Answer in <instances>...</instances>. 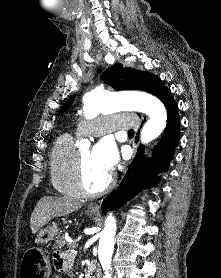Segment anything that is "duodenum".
<instances>
[{
  "label": "duodenum",
  "mask_w": 221,
  "mask_h": 278,
  "mask_svg": "<svg viewBox=\"0 0 221 278\" xmlns=\"http://www.w3.org/2000/svg\"><path fill=\"white\" fill-rule=\"evenodd\" d=\"M86 277L87 278H101V273L94 264H90L87 269Z\"/></svg>",
  "instance_id": "obj_1"
}]
</instances>
